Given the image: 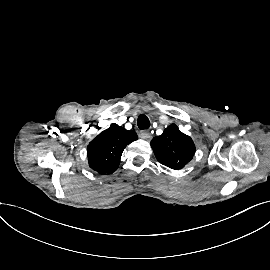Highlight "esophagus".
Returning <instances> with one entry per match:
<instances>
[{"instance_id": "34e87169", "label": "esophagus", "mask_w": 270, "mask_h": 270, "mask_svg": "<svg viewBox=\"0 0 270 270\" xmlns=\"http://www.w3.org/2000/svg\"><path fill=\"white\" fill-rule=\"evenodd\" d=\"M139 136L144 140H149L151 138V133L148 130H143L139 133Z\"/></svg>"}]
</instances>
